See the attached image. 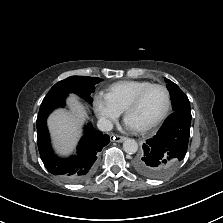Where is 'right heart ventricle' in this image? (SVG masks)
Returning a JSON list of instances; mask_svg holds the SVG:
<instances>
[{
    "mask_svg": "<svg viewBox=\"0 0 223 223\" xmlns=\"http://www.w3.org/2000/svg\"><path fill=\"white\" fill-rule=\"evenodd\" d=\"M151 82L143 80H124L110 85L106 91V96L121 111L127 107L131 100Z\"/></svg>",
    "mask_w": 223,
    "mask_h": 223,
    "instance_id": "1",
    "label": "right heart ventricle"
}]
</instances>
